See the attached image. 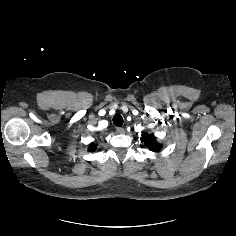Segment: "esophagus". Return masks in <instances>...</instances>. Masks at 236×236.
I'll list each match as a JSON object with an SVG mask.
<instances>
[{"label": "esophagus", "instance_id": "34e87169", "mask_svg": "<svg viewBox=\"0 0 236 236\" xmlns=\"http://www.w3.org/2000/svg\"><path fill=\"white\" fill-rule=\"evenodd\" d=\"M116 131H117V133H119V134H124V133H125V129L122 128V127H118V128L116 129Z\"/></svg>", "mask_w": 236, "mask_h": 236}]
</instances>
